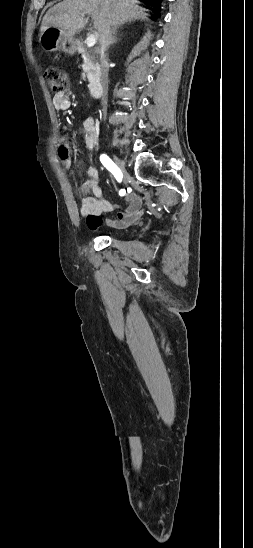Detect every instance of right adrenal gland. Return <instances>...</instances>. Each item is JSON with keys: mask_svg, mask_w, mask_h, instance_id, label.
Wrapping results in <instances>:
<instances>
[{"mask_svg": "<svg viewBox=\"0 0 253 548\" xmlns=\"http://www.w3.org/2000/svg\"><path fill=\"white\" fill-rule=\"evenodd\" d=\"M115 34L116 30L112 29L107 40L106 49H108L112 44L117 42L118 39L116 38Z\"/></svg>", "mask_w": 253, "mask_h": 548, "instance_id": "obj_1", "label": "right adrenal gland"}]
</instances>
